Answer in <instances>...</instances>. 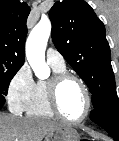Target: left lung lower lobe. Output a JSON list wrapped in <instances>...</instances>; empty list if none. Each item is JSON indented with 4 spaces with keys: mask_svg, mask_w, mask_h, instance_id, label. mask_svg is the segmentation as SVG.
<instances>
[{
    "mask_svg": "<svg viewBox=\"0 0 119 141\" xmlns=\"http://www.w3.org/2000/svg\"><path fill=\"white\" fill-rule=\"evenodd\" d=\"M90 119L105 129L114 141H119V99L117 96L94 108Z\"/></svg>",
    "mask_w": 119,
    "mask_h": 141,
    "instance_id": "0a47b994",
    "label": "left lung lower lobe"
}]
</instances>
